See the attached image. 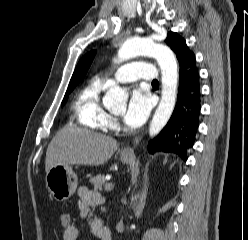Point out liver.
Instances as JSON below:
<instances>
[{"instance_id": "obj_1", "label": "liver", "mask_w": 248, "mask_h": 240, "mask_svg": "<svg viewBox=\"0 0 248 240\" xmlns=\"http://www.w3.org/2000/svg\"><path fill=\"white\" fill-rule=\"evenodd\" d=\"M117 148L112 137L85 129H62L48 145L45 169L48 172L57 165H102Z\"/></svg>"}]
</instances>
